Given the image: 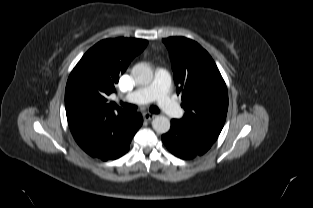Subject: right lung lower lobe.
I'll return each mask as SVG.
<instances>
[{"label": "right lung lower lobe", "mask_w": 313, "mask_h": 208, "mask_svg": "<svg viewBox=\"0 0 313 208\" xmlns=\"http://www.w3.org/2000/svg\"><path fill=\"white\" fill-rule=\"evenodd\" d=\"M72 135L90 156L114 160L129 150L130 142L142 125L138 113H108L68 119Z\"/></svg>", "instance_id": "obj_1"}]
</instances>
